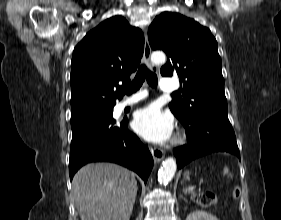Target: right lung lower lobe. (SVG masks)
I'll use <instances>...</instances> for the list:
<instances>
[{"label":"right lung lower lobe","mask_w":281,"mask_h":220,"mask_svg":"<svg viewBox=\"0 0 281 220\" xmlns=\"http://www.w3.org/2000/svg\"><path fill=\"white\" fill-rule=\"evenodd\" d=\"M127 123L125 119L116 125L113 116H102L72 127L70 179L87 163L114 162L135 171L146 183L153 158L149 149L127 129Z\"/></svg>","instance_id":"1"}]
</instances>
